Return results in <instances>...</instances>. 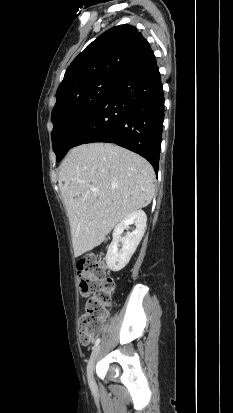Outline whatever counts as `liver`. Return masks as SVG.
I'll use <instances>...</instances> for the list:
<instances>
[{
  "mask_svg": "<svg viewBox=\"0 0 233 413\" xmlns=\"http://www.w3.org/2000/svg\"><path fill=\"white\" fill-rule=\"evenodd\" d=\"M154 182L151 164L123 147L90 143L70 150L59 166V187L75 257L99 246L125 217L148 206Z\"/></svg>",
  "mask_w": 233,
  "mask_h": 413,
  "instance_id": "obj_1",
  "label": "liver"
}]
</instances>
